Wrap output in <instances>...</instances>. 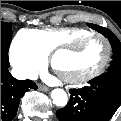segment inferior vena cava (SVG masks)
Wrapping results in <instances>:
<instances>
[{
    "label": "inferior vena cava",
    "mask_w": 121,
    "mask_h": 121,
    "mask_svg": "<svg viewBox=\"0 0 121 121\" xmlns=\"http://www.w3.org/2000/svg\"><path fill=\"white\" fill-rule=\"evenodd\" d=\"M12 75L18 80H24V79L36 80L37 79V73L34 70L25 71V70L13 68Z\"/></svg>",
    "instance_id": "obj_1"
}]
</instances>
